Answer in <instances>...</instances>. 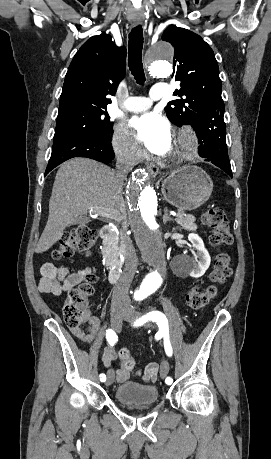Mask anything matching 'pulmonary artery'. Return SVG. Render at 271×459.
Here are the masks:
<instances>
[{"label": "pulmonary artery", "mask_w": 271, "mask_h": 459, "mask_svg": "<svg viewBox=\"0 0 271 459\" xmlns=\"http://www.w3.org/2000/svg\"><path fill=\"white\" fill-rule=\"evenodd\" d=\"M166 83L164 81H156L154 83V89H151L149 95L151 98L145 97H130L123 105L126 111L133 113H140L148 110L150 107H154V98H163L165 96L164 89Z\"/></svg>", "instance_id": "e3ab8cb5"}]
</instances>
